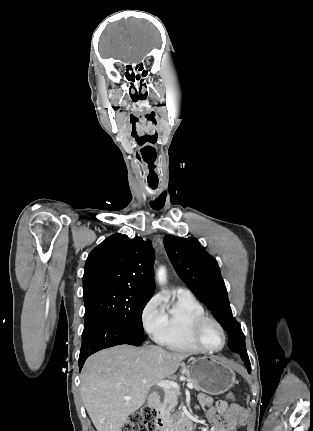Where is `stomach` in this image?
Listing matches in <instances>:
<instances>
[{"instance_id": "0dacf381", "label": "stomach", "mask_w": 313, "mask_h": 431, "mask_svg": "<svg viewBox=\"0 0 313 431\" xmlns=\"http://www.w3.org/2000/svg\"><path fill=\"white\" fill-rule=\"evenodd\" d=\"M188 372L200 389L211 395L223 394L236 383L234 370L212 356L193 358Z\"/></svg>"}]
</instances>
